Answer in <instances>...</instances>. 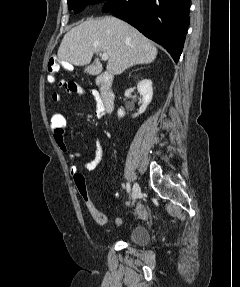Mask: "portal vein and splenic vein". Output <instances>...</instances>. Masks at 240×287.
<instances>
[{
	"mask_svg": "<svg viewBox=\"0 0 240 287\" xmlns=\"http://www.w3.org/2000/svg\"><path fill=\"white\" fill-rule=\"evenodd\" d=\"M101 58H102V60L107 61L108 58H109V56H108L107 53H102V54H101Z\"/></svg>",
	"mask_w": 240,
	"mask_h": 287,
	"instance_id": "18ae733b",
	"label": "portal vein and splenic vein"
}]
</instances>
